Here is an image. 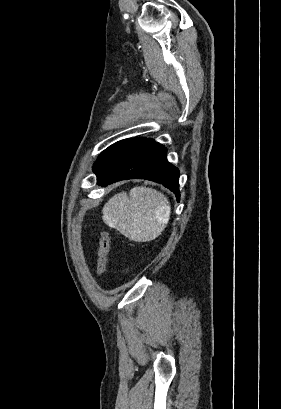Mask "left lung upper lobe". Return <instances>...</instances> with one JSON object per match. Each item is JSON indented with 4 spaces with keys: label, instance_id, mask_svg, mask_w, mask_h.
<instances>
[{
    "label": "left lung upper lobe",
    "instance_id": "obj_1",
    "mask_svg": "<svg viewBox=\"0 0 281 409\" xmlns=\"http://www.w3.org/2000/svg\"><path fill=\"white\" fill-rule=\"evenodd\" d=\"M142 140H144V138L124 139L114 143L100 154V156L98 157V161H96L93 166V171L97 173L111 159L129 149L130 147L136 145L137 143L141 142Z\"/></svg>",
    "mask_w": 281,
    "mask_h": 409
}]
</instances>
